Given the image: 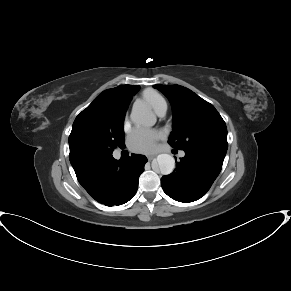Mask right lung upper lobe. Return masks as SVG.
Returning a JSON list of instances; mask_svg holds the SVG:
<instances>
[{"label": "right lung upper lobe", "instance_id": "cb5924a9", "mask_svg": "<svg viewBox=\"0 0 291 291\" xmlns=\"http://www.w3.org/2000/svg\"><path fill=\"white\" fill-rule=\"evenodd\" d=\"M138 89V85H121L116 88L105 90L99 94L87 108L100 105L108 101H115L127 110L132 96Z\"/></svg>", "mask_w": 291, "mask_h": 291}]
</instances>
